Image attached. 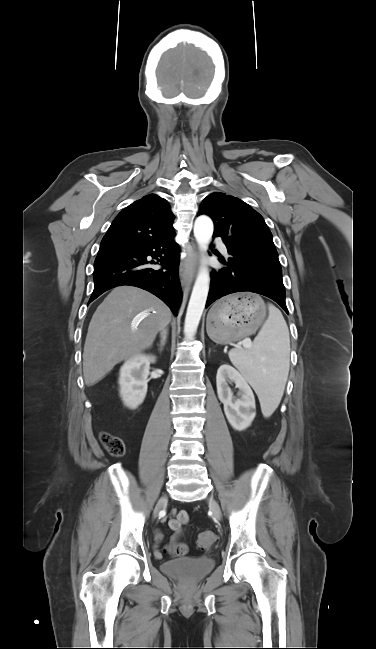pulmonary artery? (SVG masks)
I'll list each match as a JSON object with an SVG mask.
<instances>
[{
    "mask_svg": "<svg viewBox=\"0 0 376 649\" xmlns=\"http://www.w3.org/2000/svg\"><path fill=\"white\" fill-rule=\"evenodd\" d=\"M215 242L218 244V246L220 247V249H221L224 253H227V248H226V246H225V245H224L220 240H216Z\"/></svg>",
    "mask_w": 376,
    "mask_h": 649,
    "instance_id": "pulmonary-artery-1",
    "label": "pulmonary artery"
}]
</instances>
